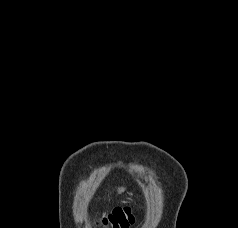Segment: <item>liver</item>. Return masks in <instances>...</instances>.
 <instances>
[{"mask_svg": "<svg viewBox=\"0 0 238 228\" xmlns=\"http://www.w3.org/2000/svg\"><path fill=\"white\" fill-rule=\"evenodd\" d=\"M124 191V188H119L118 193H122Z\"/></svg>", "mask_w": 238, "mask_h": 228, "instance_id": "6515ba94", "label": "liver"}]
</instances>
